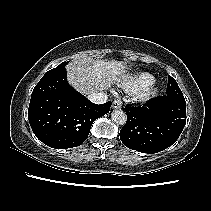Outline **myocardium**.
Wrapping results in <instances>:
<instances>
[{"mask_svg": "<svg viewBox=\"0 0 211 211\" xmlns=\"http://www.w3.org/2000/svg\"><path fill=\"white\" fill-rule=\"evenodd\" d=\"M157 91H158V87L155 84V82H153L152 84H150L143 90L139 91L138 98L142 101L149 100L157 93Z\"/></svg>", "mask_w": 211, "mask_h": 211, "instance_id": "obj_1", "label": "myocardium"}]
</instances>
